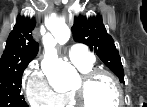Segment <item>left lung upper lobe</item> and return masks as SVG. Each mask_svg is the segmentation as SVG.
Returning <instances> with one entry per match:
<instances>
[{"instance_id":"obj_1","label":"left lung upper lobe","mask_w":147,"mask_h":107,"mask_svg":"<svg viewBox=\"0 0 147 107\" xmlns=\"http://www.w3.org/2000/svg\"><path fill=\"white\" fill-rule=\"evenodd\" d=\"M73 38L84 43L124 83V70L113 38L107 33L101 17H78L72 26Z\"/></svg>"}]
</instances>
